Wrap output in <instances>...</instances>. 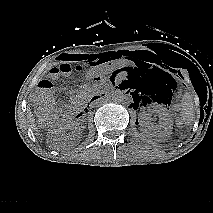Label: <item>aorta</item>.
<instances>
[{
	"label": "aorta",
	"instance_id": "1",
	"mask_svg": "<svg viewBox=\"0 0 213 213\" xmlns=\"http://www.w3.org/2000/svg\"><path fill=\"white\" fill-rule=\"evenodd\" d=\"M109 98L111 102L115 104H121L125 99V95L120 91H115L111 94Z\"/></svg>",
	"mask_w": 213,
	"mask_h": 213
}]
</instances>
